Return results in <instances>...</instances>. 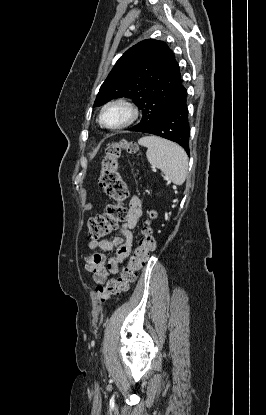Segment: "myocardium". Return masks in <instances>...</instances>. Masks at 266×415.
<instances>
[{
	"mask_svg": "<svg viewBox=\"0 0 266 415\" xmlns=\"http://www.w3.org/2000/svg\"><path fill=\"white\" fill-rule=\"evenodd\" d=\"M112 107H122L127 112V118L122 123L118 125H114V126L105 124L103 120V116L106 110ZM138 115H139V111H138V108L134 105V103H132L126 98L119 97V98L112 99L103 105L99 113V123L102 127L108 130H120L133 124L137 120Z\"/></svg>",
	"mask_w": 266,
	"mask_h": 415,
	"instance_id": "obj_1",
	"label": "myocardium"
}]
</instances>
